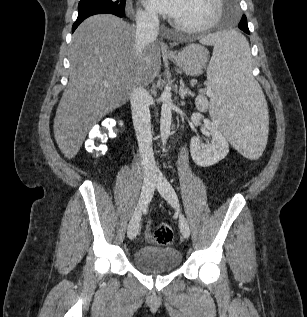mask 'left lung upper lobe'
Here are the masks:
<instances>
[{
  "label": "left lung upper lobe",
  "mask_w": 307,
  "mask_h": 317,
  "mask_svg": "<svg viewBox=\"0 0 307 317\" xmlns=\"http://www.w3.org/2000/svg\"><path fill=\"white\" fill-rule=\"evenodd\" d=\"M243 20H247V18H246V16H245V15H243V16H242L241 21H243Z\"/></svg>",
  "instance_id": "5c2ea615"
}]
</instances>
